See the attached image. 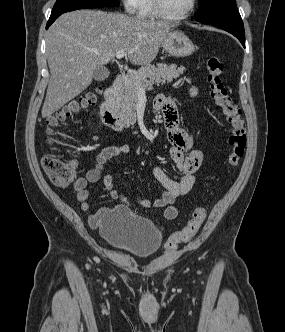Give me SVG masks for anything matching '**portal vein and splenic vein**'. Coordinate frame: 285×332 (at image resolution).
Here are the masks:
<instances>
[{"mask_svg":"<svg viewBox=\"0 0 285 332\" xmlns=\"http://www.w3.org/2000/svg\"><path fill=\"white\" fill-rule=\"evenodd\" d=\"M126 55V52L125 51H123V50H121V51H118L117 53H116V58L117 59H121V58H123L124 56ZM152 89V87H149L148 88V90H151ZM145 92H146V88H139V95H145Z\"/></svg>","mask_w":285,"mask_h":332,"instance_id":"obj_1","label":"portal vein and splenic vein"}]
</instances>
